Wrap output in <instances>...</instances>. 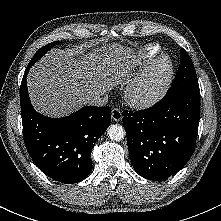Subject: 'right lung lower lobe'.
Instances as JSON below:
<instances>
[{
  "label": "right lung lower lobe",
  "instance_id": "obj_1",
  "mask_svg": "<svg viewBox=\"0 0 221 221\" xmlns=\"http://www.w3.org/2000/svg\"><path fill=\"white\" fill-rule=\"evenodd\" d=\"M25 70L20 102L23 136L33 162L50 178L72 184L91 172V148L111 122L109 107L86 106L63 118L37 113L30 102Z\"/></svg>",
  "mask_w": 221,
  "mask_h": 221
}]
</instances>
